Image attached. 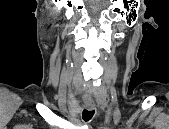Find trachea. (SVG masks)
Wrapping results in <instances>:
<instances>
[{"mask_svg":"<svg viewBox=\"0 0 169 129\" xmlns=\"http://www.w3.org/2000/svg\"><path fill=\"white\" fill-rule=\"evenodd\" d=\"M94 110H87V109H84L83 112H82V118L84 121H89L91 120V118L93 117L94 115Z\"/></svg>","mask_w":169,"mask_h":129,"instance_id":"1","label":"trachea"}]
</instances>
